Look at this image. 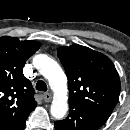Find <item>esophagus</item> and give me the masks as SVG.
I'll return each instance as SVG.
<instances>
[{
	"label": "esophagus",
	"mask_w": 130,
	"mask_h": 130,
	"mask_svg": "<svg viewBox=\"0 0 130 130\" xmlns=\"http://www.w3.org/2000/svg\"><path fill=\"white\" fill-rule=\"evenodd\" d=\"M43 98H44V101L45 102H50L51 101V99H52V95H51V93H45L44 95H43Z\"/></svg>",
	"instance_id": "esophagus-1"
}]
</instances>
